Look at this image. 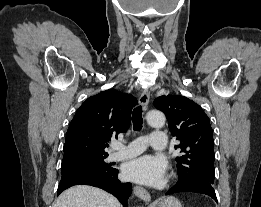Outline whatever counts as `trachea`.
Returning <instances> with one entry per match:
<instances>
[{
    "instance_id": "1",
    "label": "trachea",
    "mask_w": 261,
    "mask_h": 207,
    "mask_svg": "<svg viewBox=\"0 0 261 207\" xmlns=\"http://www.w3.org/2000/svg\"><path fill=\"white\" fill-rule=\"evenodd\" d=\"M132 121L134 131H140L142 129V106H138L133 110Z\"/></svg>"
}]
</instances>
